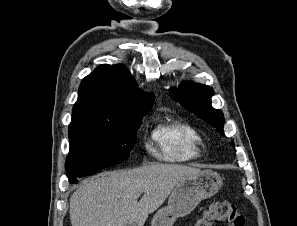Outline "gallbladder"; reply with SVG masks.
I'll return each instance as SVG.
<instances>
[{
  "mask_svg": "<svg viewBox=\"0 0 297 226\" xmlns=\"http://www.w3.org/2000/svg\"><path fill=\"white\" fill-rule=\"evenodd\" d=\"M126 226H136V224H135V223H132V222H128V223L126 224Z\"/></svg>",
  "mask_w": 297,
  "mask_h": 226,
  "instance_id": "1",
  "label": "gallbladder"
}]
</instances>
